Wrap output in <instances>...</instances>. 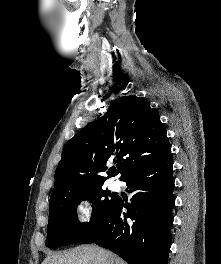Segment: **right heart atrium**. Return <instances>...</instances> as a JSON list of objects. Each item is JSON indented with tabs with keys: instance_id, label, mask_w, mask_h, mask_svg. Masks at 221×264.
Instances as JSON below:
<instances>
[{
	"instance_id": "d8ad5b80",
	"label": "right heart atrium",
	"mask_w": 221,
	"mask_h": 264,
	"mask_svg": "<svg viewBox=\"0 0 221 264\" xmlns=\"http://www.w3.org/2000/svg\"><path fill=\"white\" fill-rule=\"evenodd\" d=\"M94 215V202L89 196L80 197L74 206V217L77 226L87 225Z\"/></svg>"
}]
</instances>
